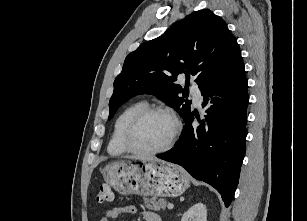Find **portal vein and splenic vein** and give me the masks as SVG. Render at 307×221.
Segmentation results:
<instances>
[{
	"label": "portal vein and splenic vein",
	"instance_id": "1",
	"mask_svg": "<svg viewBox=\"0 0 307 221\" xmlns=\"http://www.w3.org/2000/svg\"><path fill=\"white\" fill-rule=\"evenodd\" d=\"M167 208L171 210V209L174 208V205H173L172 203H169V204L167 205Z\"/></svg>",
	"mask_w": 307,
	"mask_h": 221
}]
</instances>
